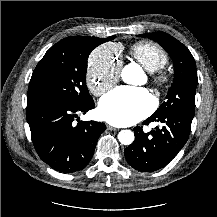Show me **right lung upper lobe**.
<instances>
[{
    "instance_id": "1",
    "label": "right lung upper lobe",
    "mask_w": 217,
    "mask_h": 217,
    "mask_svg": "<svg viewBox=\"0 0 217 217\" xmlns=\"http://www.w3.org/2000/svg\"><path fill=\"white\" fill-rule=\"evenodd\" d=\"M105 42L106 41H110V40H112V36L111 37H108V38H105V39H103Z\"/></svg>"
}]
</instances>
